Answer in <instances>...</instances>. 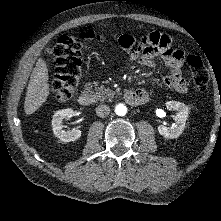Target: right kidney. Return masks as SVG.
<instances>
[{
    "label": "right kidney",
    "mask_w": 221,
    "mask_h": 221,
    "mask_svg": "<svg viewBox=\"0 0 221 221\" xmlns=\"http://www.w3.org/2000/svg\"><path fill=\"white\" fill-rule=\"evenodd\" d=\"M74 116V111L72 109H63L57 111L53 115L52 127L54 135L59 138L62 142H71L79 139L81 137V130L73 129L71 131L63 130L62 122L65 118H70Z\"/></svg>",
    "instance_id": "ca27d5eb"
}]
</instances>
